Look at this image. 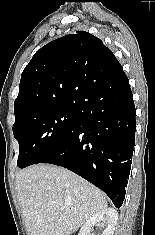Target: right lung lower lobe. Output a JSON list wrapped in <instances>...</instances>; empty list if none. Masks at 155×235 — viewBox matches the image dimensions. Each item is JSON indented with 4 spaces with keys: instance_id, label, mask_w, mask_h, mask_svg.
<instances>
[{
    "instance_id": "obj_1",
    "label": "right lung lower lobe",
    "mask_w": 155,
    "mask_h": 235,
    "mask_svg": "<svg viewBox=\"0 0 155 235\" xmlns=\"http://www.w3.org/2000/svg\"><path fill=\"white\" fill-rule=\"evenodd\" d=\"M135 113L129 80L121 72L79 102L77 130L39 163L75 172L121 207L135 144Z\"/></svg>"
}]
</instances>
